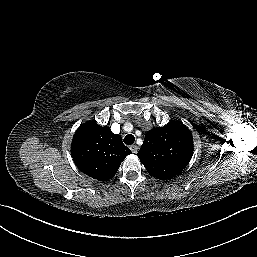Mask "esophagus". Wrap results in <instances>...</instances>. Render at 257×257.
Here are the masks:
<instances>
[{
    "instance_id": "obj_1",
    "label": "esophagus",
    "mask_w": 257,
    "mask_h": 257,
    "mask_svg": "<svg viewBox=\"0 0 257 257\" xmlns=\"http://www.w3.org/2000/svg\"><path fill=\"white\" fill-rule=\"evenodd\" d=\"M130 150H131L133 153H137V152H138V146H137V145H131V146H130Z\"/></svg>"
}]
</instances>
